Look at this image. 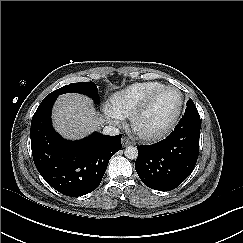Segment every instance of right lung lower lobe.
Listing matches in <instances>:
<instances>
[{
	"instance_id": "right-lung-lower-lobe-1",
	"label": "right lung lower lobe",
	"mask_w": 243,
	"mask_h": 243,
	"mask_svg": "<svg viewBox=\"0 0 243 243\" xmlns=\"http://www.w3.org/2000/svg\"><path fill=\"white\" fill-rule=\"evenodd\" d=\"M57 97H45L31 121L34 164L44 180L58 192L78 197L95 190L110 158L121 149V134L93 133L79 141H67L55 132L51 110Z\"/></svg>"
}]
</instances>
